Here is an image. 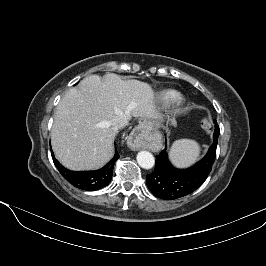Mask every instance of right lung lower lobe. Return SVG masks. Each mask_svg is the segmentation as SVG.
Instances as JSON below:
<instances>
[{
    "instance_id": "obj_1",
    "label": "right lung lower lobe",
    "mask_w": 266,
    "mask_h": 266,
    "mask_svg": "<svg viewBox=\"0 0 266 266\" xmlns=\"http://www.w3.org/2000/svg\"><path fill=\"white\" fill-rule=\"evenodd\" d=\"M54 158V154H51ZM119 158L117 150L113 159H111L103 168L96 171H70L64 168L57 159L53 162L61 175L73 186L86 190L95 191L101 189L109 184L113 174V168L116 160Z\"/></svg>"
}]
</instances>
